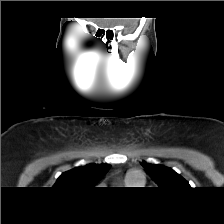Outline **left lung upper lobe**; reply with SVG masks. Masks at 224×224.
<instances>
[{"instance_id": "left-lung-upper-lobe-1", "label": "left lung upper lobe", "mask_w": 224, "mask_h": 224, "mask_svg": "<svg viewBox=\"0 0 224 224\" xmlns=\"http://www.w3.org/2000/svg\"><path fill=\"white\" fill-rule=\"evenodd\" d=\"M143 167L161 189L183 190L190 188L189 183L171 168L146 162Z\"/></svg>"}]
</instances>
